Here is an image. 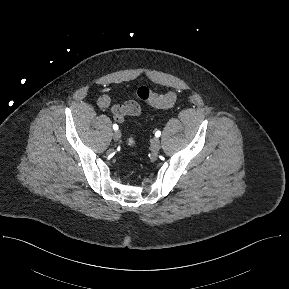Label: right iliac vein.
I'll list each match as a JSON object with an SVG mask.
<instances>
[{
    "label": "right iliac vein",
    "instance_id": "63e3f726",
    "mask_svg": "<svg viewBox=\"0 0 289 289\" xmlns=\"http://www.w3.org/2000/svg\"><path fill=\"white\" fill-rule=\"evenodd\" d=\"M112 137L115 141L120 140L121 138V132L119 130H116L115 132H113Z\"/></svg>",
    "mask_w": 289,
    "mask_h": 289
}]
</instances>
